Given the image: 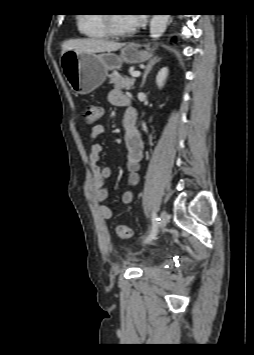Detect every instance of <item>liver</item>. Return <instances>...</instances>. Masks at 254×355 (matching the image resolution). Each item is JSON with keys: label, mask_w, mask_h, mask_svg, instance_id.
<instances>
[{"label": "liver", "mask_w": 254, "mask_h": 355, "mask_svg": "<svg viewBox=\"0 0 254 355\" xmlns=\"http://www.w3.org/2000/svg\"><path fill=\"white\" fill-rule=\"evenodd\" d=\"M124 45V43H117L104 39H71L63 43L61 55L68 50H74L80 53L111 52L122 48Z\"/></svg>", "instance_id": "liver-1"}]
</instances>
